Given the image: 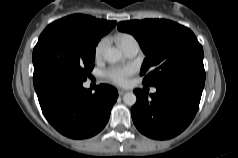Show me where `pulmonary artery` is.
I'll return each instance as SVG.
<instances>
[{
    "instance_id": "e3ab8cb5",
    "label": "pulmonary artery",
    "mask_w": 238,
    "mask_h": 158,
    "mask_svg": "<svg viewBox=\"0 0 238 158\" xmlns=\"http://www.w3.org/2000/svg\"><path fill=\"white\" fill-rule=\"evenodd\" d=\"M122 48L126 56L130 58L135 57L140 49L138 42L134 38L129 40ZM151 92L155 93L156 89L153 88Z\"/></svg>"
}]
</instances>
